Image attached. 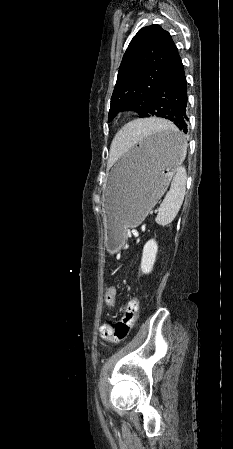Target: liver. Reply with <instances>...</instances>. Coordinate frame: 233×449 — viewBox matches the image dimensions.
<instances>
[{
    "mask_svg": "<svg viewBox=\"0 0 233 449\" xmlns=\"http://www.w3.org/2000/svg\"><path fill=\"white\" fill-rule=\"evenodd\" d=\"M160 124L164 127H171L172 124L165 120L160 119H142L127 124L119 133H114L113 142L111 145V155L113 157L118 156V152L127 142H131L132 136L141 135L145 129L151 126Z\"/></svg>",
    "mask_w": 233,
    "mask_h": 449,
    "instance_id": "obj_1",
    "label": "liver"
}]
</instances>
